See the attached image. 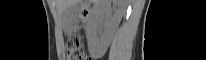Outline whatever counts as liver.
Wrapping results in <instances>:
<instances>
[{
    "mask_svg": "<svg viewBox=\"0 0 206 60\" xmlns=\"http://www.w3.org/2000/svg\"><path fill=\"white\" fill-rule=\"evenodd\" d=\"M80 1L81 0H56V7H57L58 12L62 14V12L66 8H68L75 2H80ZM107 3H110V0H107ZM126 3H127L126 0H116L114 2V4L116 5L115 9L111 12L109 11L108 13V16L111 19L112 24H113L112 26L113 31L118 27L122 19V16L125 12Z\"/></svg>",
    "mask_w": 206,
    "mask_h": 60,
    "instance_id": "liver-1",
    "label": "liver"
}]
</instances>
